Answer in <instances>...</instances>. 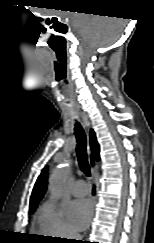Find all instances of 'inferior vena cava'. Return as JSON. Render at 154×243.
<instances>
[{"mask_svg": "<svg viewBox=\"0 0 154 243\" xmlns=\"http://www.w3.org/2000/svg\"><path fill=\"white\" fill-rule=\"evenodd\" d=\"M79 238H80V236H79V235H76V236H75V239H79Z\"/></svg>", "mask_w": 154, "mask_h": 243, "instance_id": "inferior-vena-cava-1", "label": "inferior vena cava"}]
</instances>
